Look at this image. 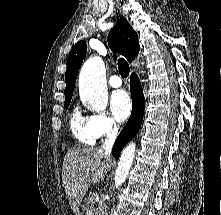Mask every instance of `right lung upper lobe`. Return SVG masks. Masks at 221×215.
Wrapping results in <instances>:
<instances>
[{
  "label": "right lung upper lobe",
  "instance_id": "obj_1",
  "mask_svg": "<svg viewBox=\"0 0 221 215\" xmlns=\"http://www.w3.org/2000/svg\"><path fill=\"white\" fill-rule=\"evenodd\" d=\"M108 44L111 50L122 54L129 62L135 59L140 50L137 33L125 18L118 20L116 26L110 31ZM86 52V42L82 40L75 44L68 56L65 73V100L72 98L76 77Z\"/></svg>",
  "mask_w": 221,
  "mask_h": 215
}]
</instances>
